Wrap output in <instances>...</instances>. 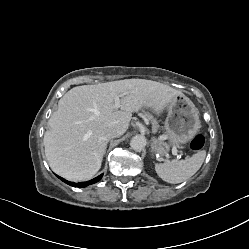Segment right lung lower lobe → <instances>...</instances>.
Wrapping results in <instances>:
<instances>
[{
  "instance_id": "98d812e1",
  "label": "right lung lower lobe",
  "mask_w": 249,
  "mask_h": 249,
  "mask_svg": "<svg viewBox=\"0 0 249 249\" xmlns=\"http://www.w3.org/2000/svg\"><path fill=\"white\" fill-rule=\"evenodd\" d=\"M102 176H103V175L101 174L100 176H98V177H96V178H94V179H92V180H90V181H87V182H80V183L68 182L67 180H65V179H63V178H61V177H59V176H57V177H58L59 179H61L63 182L69 184L70 186H73V187H86V186H88V185H90V184H93V183L98 182V181L102 178Z\"/></svg>"
}]
</instances>
